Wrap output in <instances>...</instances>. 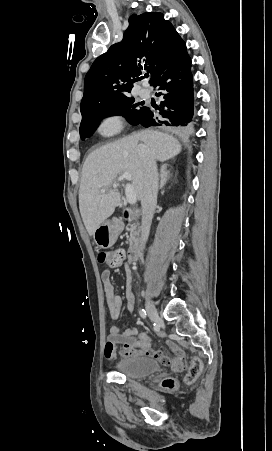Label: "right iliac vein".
<instances>
[{"label":"right iliac vein","mask_w":272,"mask_h":451,"mask_svg":"<svg viewBox=\"0 0 272 451\" xmlns=\"http://www.w3.org/2000/svg\"><path fill=\"white\" fill-rule=\"evenodd\" d=\"M146 310L148 316L152 322H155L159 318L158 311L156 310L154 304L150 301L146 302Z\"/></svg>","instance_id":"1"}]
</instances>
